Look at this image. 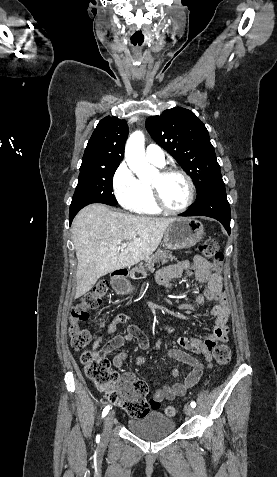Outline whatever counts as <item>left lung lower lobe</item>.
Wrapping results in <instances>:
<instances>
[{
  "label": "left lung lower lobe",
  "mask_w": 277,
  "mask_h": 477,
  "mask_svg": "<svg viewBox=\"0 0 277 477\" xmlns=\"http://www.w3.org/2000/svg\"><path fill=\"white\" fill-rule=\"evenodd\" d=\"M180 216H207L220 221L230 234V206L222 177L213 179L196 203Z\"/></svg>",
  "instance_id": "1"
}]
</instances>
